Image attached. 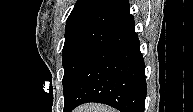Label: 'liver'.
<instances>
[{"label":"liver","instance_id":"1","mask_svg":"<svg viewBox=\"0 0 193 112\" xmlns=\"http://www.w3.org/2000/svg\"><path fill=\"white\" fill-rule=\"evenodd\" d=\"M74 112H116V110L98 103H89L79 106Z\"/></svg>","mask_w":193,"mask_h":112}]
</instances>
